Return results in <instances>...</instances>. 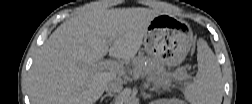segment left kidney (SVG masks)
Masks as SVG:
<instances>
[{"instance_id":"5707ae66","label":"left kidney","mask_w":252,"mask_h":104,"mask_svg":"<svg viewBox=\"0 0 252 104\" xmlns=\"http://www.w3.org/2000/svg\"><path fill=\"white\" fill-rule=\"evenodd\" d=\"M168 103H181V101L180 100H178V99H172V100H168L167 101Z\"/></svg>"}]
</instances>
